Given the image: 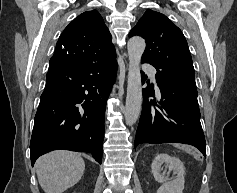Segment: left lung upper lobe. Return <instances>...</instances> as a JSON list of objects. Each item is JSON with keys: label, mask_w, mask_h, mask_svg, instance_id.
<instances>
[{"label": "left lung upper lobe", "mask_w": 237, "mask_h": 193, "mask_svg": "<svg viewBox=\"0 0 237 193\" xmlns=\"http://www.w3.org/2000/svg\"><path fill=\"white\" fill-rule=\"evenodd\" d=\"M134 35L146 40L142 62L153 65L161 75L195 83L187 41L181 30L165 15L147 10L129 37Z\"/></svg>", "instance_id": "left-lung-upper-lobe-1"}]
</instances>
